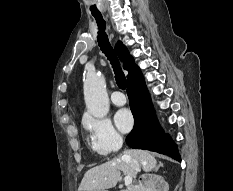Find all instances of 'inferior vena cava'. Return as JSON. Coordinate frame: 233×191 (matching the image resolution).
<instances>
[{
  "label": "inferior vena cava",
  "mask_w": 233,
  "mask_h": 191,
  "mask_svg": "<svg viewBox=\"0 0 233 191\" xmlns=\"http://www.w3.org/2000/svg\"><path fill=\"white\" fill-rule=\"evenodd\" d=\"M122 144H123V141L120 140V141L116 144L115 150H116V151L119 150V149L122 147ZM129 163H130V165L132 166V168H133L135 171H137V172L140 171V165H139V163H138L137 160L131 159V160H129Z\"/></svg>",
  "instance_id": "602c4592"
}]
</instances>
